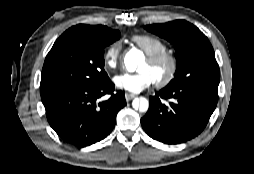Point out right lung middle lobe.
Wrapping results in <instances>:
<instances>
[{"instance_id": "dd1d6c3e", "label": "right lung middle lobe", "mask_w": 254, "mask_h": 174, "mask_svg": "<svg viewBox=\"0 0 254 174\" xmlns=\"http://www.w3.org/2000/svg\"><path fill=\"white\" fill-rule=\"evenodd\" d=\"M120 38L111 30L103 36L67 30L46 56L40 94L68 88L94 87L108 80L104 70V48Z\"/></svg>"}]
</instances>
